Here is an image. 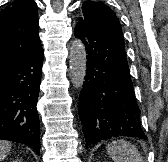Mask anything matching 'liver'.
Masks as SVG:
<instances>
[{"label": "liver", "mask_w": 168, "mask_h": 162, "mask_svg": "<svg viewBox=\"0 0 168 162\" xmlns=\"http://www.w3.org/2000/svg\"><path fill=\"white\" fill-rule=\"evenodd\" d=\"M11 143L9 141L0 140V162L10 153Z\"/></svg>", "instance_id": "6515ba94"}]
</instances>
